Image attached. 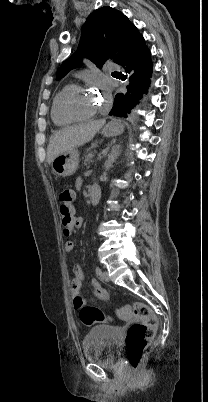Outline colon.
<instances>
[{"instance_id":"colon-1","label":"colon","mask_w":208,"mask_h":402,"mask_svg":"<svg viewBox=\"0 0 208 402\" xmlns=\"http://www.w3.org/2000/svg\"><path fill=\"white\" fill-rule=\"evenodd\" d=\"M74 199L75 191L72 188H64L59 193L60 221L64 235L72 233L76 222H78L74 211ZM74 304L79 308L78 312L81 322L87 327L112 320L110 315L98 307L85 305L80 297H78ZM134 311L143 320L142 323L127 324L126 326L128 362L133 366L142 360L148 340L153 336L155 327L159 325L158 318H150L148 308L135 304ZM133 370L137 371L138 367L134 366Z\"/></svg>"}]
</instances>
